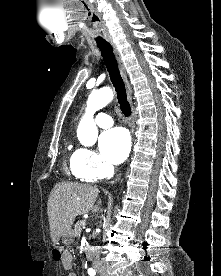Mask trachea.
<instances>
[{
  "instance_id": "obj_1",
  "label": "trachea",
  "mask_w": 221,
  "mask_h": 276,
  "mask_svg": "<svg viewBox=\"0 0 221 276\" xmlns=\"http://www.w3.org/2000/svg\"><path fill=\"white\" fill-rule=\"evenodd\" d=\"M97 47L101 51L104 63L110 75L111 82L115 88L120 109L122 113L128 117L131 115V108L127 100L125 85L119 72L117 60L113 53V48L106 41L97 42Z\"/></svg>"
}]
</instances>
